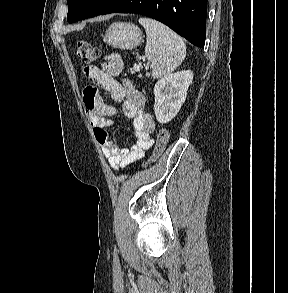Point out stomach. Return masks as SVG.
<instances>
[{"instance_id": "stomach-1", "label": "stomach", "mask_w": 288, "mask_h": 293, "mask_svg": "<svg viewBox=\"0 0 288 293\" xmlns=\"http://www.w3.org/2000/svg\"><path fill=\"white\" fill-rule=\"evenodd\" d=\"M106 42L119 49H133L143 41L142 31L132 23L116 22L105 33Z\"/></svg>"}]
</instances>
